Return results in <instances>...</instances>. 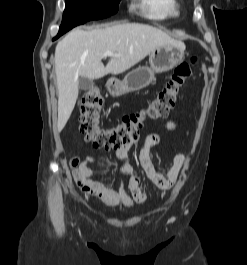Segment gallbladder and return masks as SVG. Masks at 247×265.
<instances>
[{
    "label": "gallbladder",
    "instance_id": "1",
    "mask_svg": "<svg viewBox=\"0 0 247 265\" xmlns=\"http://www.w3.org/2000/svg\"><path fill=\"white\" fill-rule=\"evenodd\" d=\"M94 86V81L86 77H79V88L81 90H88Z\"/></svg>",
    "mask_w": 247,
    "mask_h": 265
}]
</instances>
